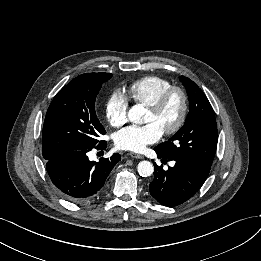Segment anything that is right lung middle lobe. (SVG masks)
<instances>
[{"label": "right lung middle lobe", "instance_id": "dd1d6c3e", "mask_svg": "<svg viewBox=\"0 0 261 261\" xmlns=\"http://www.w3.org/2000/svg\"><path fill=\"white\" fill-rule=\"evenodd\" d=\"M110 73H86L64 86L52 100L43 126L42 154L51 160L89 149L106 133L95 112L96 96Z\"/></svg>", "mask_w": 261, "mask_h": 261}]
</instances>
